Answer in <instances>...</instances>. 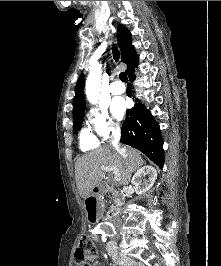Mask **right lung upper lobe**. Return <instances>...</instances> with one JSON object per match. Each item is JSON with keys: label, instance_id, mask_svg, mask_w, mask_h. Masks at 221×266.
I'll return each mask as SVG.
<instances>
[{"label": "right lung upper lobe", "instance_id": "1", "mask_svg": "<svg viewBox=\"0 0 221 266\" xmlns=\"http://www.w3.org/2000/svg\"><path fill=\"white\" fill-rule=\"evenodd\" d=\"M117 40L121 50V60L122 62L127 64L126 73L128 74L138 64L139 59L136 55L134 46L131 43V33L124 25L118 26ZM84 83L85 76L82 73L75 87V96L73 100V117L85 113Z\"/></svg>", "mask_w": 221, "mask_h": 266}]
</instances>
